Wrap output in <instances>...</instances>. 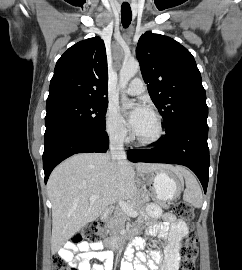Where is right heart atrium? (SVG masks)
Wrapping results in <instances>:
<instances>
[{
  "mask_svg": "<svg viewBox=\"0 0 242 270\" xmlns=\"http://www.w3.org/2000/svg\"><path fill=\"white\" fill-rule=\"evenodd\" d=\"M105 130L111 140L123 143L128 138V128L124 119L114 106H109L105 115Z\"/></svg>",
  "mask_w": 242,
  "mask_h": 270,
  "instance_id": "right-heart-atrium-1",
  "label": "right heart atrium"
}]
</instances>
